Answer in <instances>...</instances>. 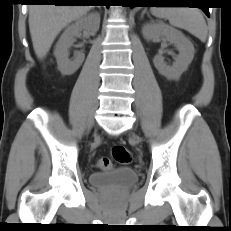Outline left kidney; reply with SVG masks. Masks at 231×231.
Masks as SVG:
<instances>
[{"label": "left kidney", "instance_id": "5707ae66", "mask_svg": "<svg viewBox=\"0 0 231 231\" xmlns=\"http://www.w3.org/2000/svg\"><path fill=\"white\" fill-rule=\"evenodd\" d=\"M142 33L148 41H157L164 37L176 46L179 54L172 66L166 65L161 55H156L153 62L157 70L166 78L170 80L179 79L194 58L195 49L191 41L181 31L164 23L145 24Z\"/></svg>", "mask_w": 231, "mask_h": 231}]
</instances>
